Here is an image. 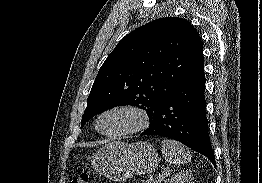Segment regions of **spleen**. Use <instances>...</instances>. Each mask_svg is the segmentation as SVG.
<instances>
[{
	"instance_id": "spleen-1",
	"label": "spleen",
	"mask_w": 262,
	"mask_h": 183,
	"mask_svg": "<svg viewBox=\"0 0 262 183\" xmlns=\"http://www.w3.org/2000/svg\"><path fill=\"white\" fill-rule=\"evenodd\" d=\"M161 147L164 158L174 165L186 164L192 158L190 151L177 141L164 139Z\"/></svg>"
}]
</instances>
